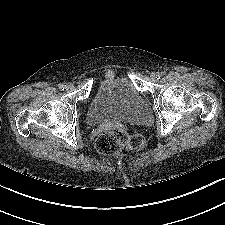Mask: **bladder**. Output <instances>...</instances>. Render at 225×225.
Returning a JSON list of instances; mask_svg holds the SVG:
<instances>
[{"label":"bladder","mask_w":225,"mask_h":225,"mask_svg":"<svg viewBox=\"0 0 225 225\" xmlns=\"http://www.w3.org/2000/svg\"><path fill=\"white\" fill-rule=\"evenodd\" d=\"M90 125L121 121L150 124L153 114L148 102L126 76L103 79L96 88L86 114Z\"/></svg>","instance_id":"obj_1"}]
</instances>
